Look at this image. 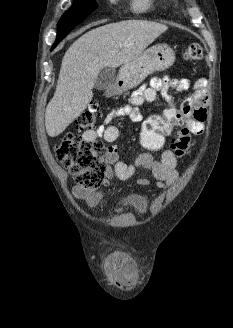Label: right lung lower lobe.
Instances as JSON below:
<instances>
[{"instance_id":"1","label":"right lung lower lobe","mask_w":233,"mask_h":328,"mask_svg":"<svg viewBox=\"0 0 233 328\" xmlns=\"http://www.w3.org/2000/svg\"><path fill=\"white\" fill-rule=\"evenodd\" d=\"M78 24L79 23H77V22L62 23V24H59L58 23V30H59V32L57 34L56 41L53 44L51 50H53L56 47V45L72 30V28L75 27Z\"/></svg>"}]
</instances>
